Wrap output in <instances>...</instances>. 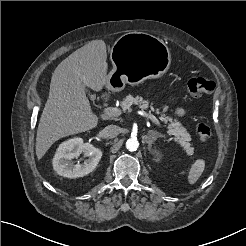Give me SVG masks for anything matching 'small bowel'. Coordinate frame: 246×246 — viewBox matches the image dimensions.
Instances as JSON below:
<instances>
[{
	"instance_id": "c3829d8e",
	"label": "small bowel",
	"mask_w": 246,
	"mask_h": 246,
	"mask_svg": "<svg viewBox=\"0 0 246 246\" xmlns=\"http://www.w3.org/2000/svg\"><path fill=\"white\" fill-rule=\"evenodd\" d=\"M176 114L179 115V116L184 115V114H185V109H183V108H178V109L176 110Z\"/></svg>"
}]
</instances>
